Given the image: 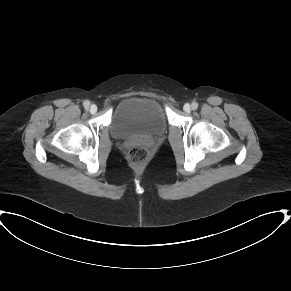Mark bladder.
<instances>
[{
  "instance_id": "obj_1",
  "label": "bladder",
  "mask_w": 291,
  "mask_h": 291,
  "mask_svg": "<svg viewBox=\"0 0 291 291\" xmlns=\"http://www.w3.org/2000/svg\"><path fill=\"white\" fill-rule=\"evenodd\" d=\"M166 117L151 98L132 96L124 99L114 110L109 129L119 141L152 139L166 131Z\"/></svg>"
}]
</instances>
